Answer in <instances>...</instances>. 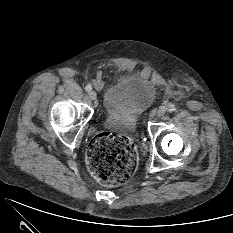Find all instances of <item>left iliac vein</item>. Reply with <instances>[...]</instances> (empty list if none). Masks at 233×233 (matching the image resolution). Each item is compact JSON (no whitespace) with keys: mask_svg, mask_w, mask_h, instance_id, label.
<instances>
[{"mask_svg":"<svg viewBox=\"0 0 233 233\" xmlns=\"http://www.w3.org/2000/svg\"><path fill=\"white\" fill-rule=\"evenodd\" d=\"M166 113V108L164 106L159 107V109L156 112V115L158 117L163 116Z\"/></svg>","mask_w":233,"mask_h":233,"instance_id":"4c4485c4","label":"left iliac vein"}]
</instances>
